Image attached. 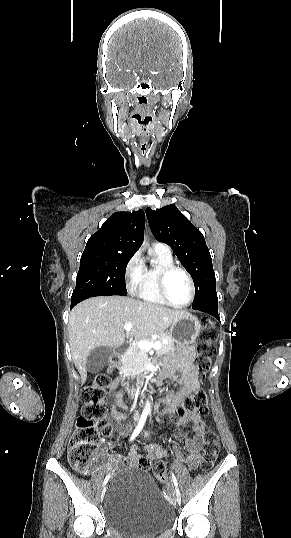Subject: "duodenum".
Returning a JSON list of instances; mask_svg holds the SVG:
<instances>
[{"mask_svg":"<svg viewBox=\"0 0 291 538\" xmlns=\"http://www.w3.org/2000/svg\"><path fill=\"white\" fill-rule=\"evenodd\" d=\"M128 351L127 347H119L117 349V353L119 355H124ZM147 381V373H141V372H128L126 373V377H124V382L126 386L127 394L130 397L137 398L140 396L142 389L145 388V386H149V383H145Z\"/></svg>","mask_w":291,"mask_h":538,"instance_id":"duodenum-1","label":"duodenum"}]
</instances>
